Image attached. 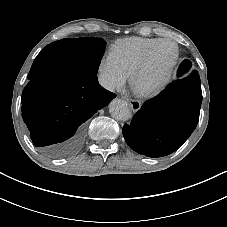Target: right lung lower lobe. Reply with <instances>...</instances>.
Segmentation results:
<instances>
[{
  "label": "right lung lower lobe",
  "instance_id": "obj_1",
  "mask_svg": "<svg viewBox=\"0 0 227 227\" xmlns=\"http://www.w3.org/2000/svg\"><path fill=\"white\" fill-rule=\"evenodd\" d=\"M72 39L48 44L32 67L45 76L28 82L22 92V117L36 147L50 158L76 153L84 123L116 97L98 84L97 76L75 75L62 66Z\"/></svg>",
  "mask_w": 227,
  "mask_h": 227
}]
</instances>
